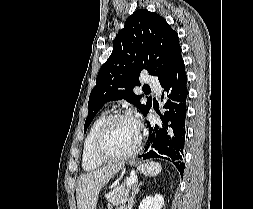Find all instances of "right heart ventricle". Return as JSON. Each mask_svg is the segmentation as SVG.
Returning <instances> with one entry per match:
<instances>
[{
	"instance_id": "right-heart-ventricle-1",
	"label": "right heart ventricle",
	"mask_w": 253,
	"mask_h": 209,
	"mask_svg": "<svg viewBox=\"0 0 253 209\" xmlns=\"http://www.w3.org/2000/svg\"><path fill=\"white\" fill-rule=\"evenodd\" d=\"M108 117V112L103 111L98 115V117L93 121L85 139L83 142V152H82V166L85 170H94L99 168L103 162L97 160L93 155V145L96 134L102 125V123Z\"/></svg>"
}]
</instances>
